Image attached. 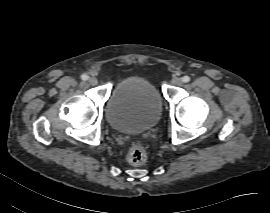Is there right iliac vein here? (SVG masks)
Returning a JSON list of instances; mask_svg holds the SVG:
<instances>
[{
    "label": "right iliac vein",
    "instance_id": "63e3f726",
    "mask_svg": "<svg viewBox=\"0 0 270 213\" xmlns=\"http://www.w3.org/2000/svg\"><path fill=\"white\" fill-rule=\"evenodd\" d=\"M88 81L92 86H95L98 83V80L95 77H90Z\"/></svg>",
    "mask_w": 270,
    "mask_h": 213
}]
</instances>
